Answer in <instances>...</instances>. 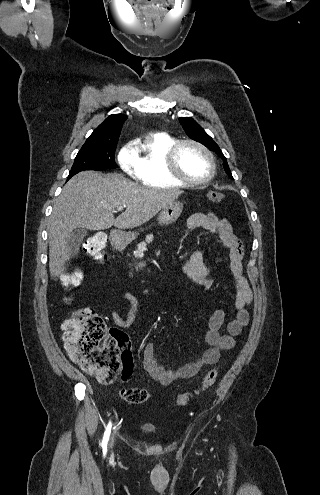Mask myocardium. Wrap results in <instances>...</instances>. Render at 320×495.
Segmentation results:
<instances>
[{
    "mask_svg": "<svg viewBox=\"0 0 320 495\" xmlns=\"http://www.w3.org/2000/svg\"><path fill=\"white\" fill-rule=\"evenodd\" d=\"M191 145L196 148H198L200 151H202L205 156L207 157L209 163H210V171L209 174L203 178V179H190L186 177L180 167H179V162H178V156L181 151V149L184 146ZM166 167L169 172V174L175 178L176 180L182 182L183 184L187 186H199V185H204L210 182L213 177L216 174V161L215 158L212 154V152L202 143L193 140V139H184L177 141L167 152L166 154Z\"/></svg>",
    "mask_w": 320,
    "mask_h": 495,
    "instance_id": "obj_1",
    "label": "myocardium"
}]
</instances>
